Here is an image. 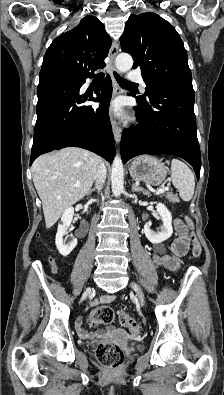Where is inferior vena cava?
Masks as SVG:
<instances>
[{"label":"inferior vena cava","instance_id":"obj_1","mask_svg":"<svg viewBox=\"0 0 224 395\" xmlns=\"http://www.w3.org/2000/svg\"><path fill=\"white\" fill-rule=\"evenodd\" d=\"M106 174H107L106 166L103 162H100L95 176L96 188L98 189V191L101 190L102 185L106 180Z\"/></svg>","mask_w":224,"mask_h":395}]
</instances>
